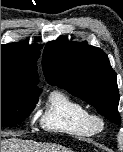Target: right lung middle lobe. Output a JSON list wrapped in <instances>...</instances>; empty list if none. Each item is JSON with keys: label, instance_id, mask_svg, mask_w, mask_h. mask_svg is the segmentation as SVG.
Here are the masks:
<instances>
[{"label": "right lung middle lobe", "instance_id": "right-lung-middle-lobe-1", "mask_svg": "<svg viewBox=\"0 0 123 152\" xmlns=\"http://www.w3.org/2000/svg\"><path fill=\"white\" fill-rule=\"evenodd\" d=\"M40 91L22 87L10 78H1V127L19 124L35 108Z\"/></svg>", "mask_w": 123, "mask_h": 152}]
</instances>
